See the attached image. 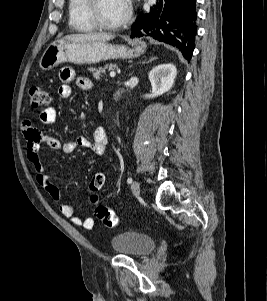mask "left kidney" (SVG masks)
I'll list each match as a JSON object with an SVG mask.
<instances>
[{
  "mask_svg": "<svg viewBox=\"0 0 267 301\" xmlns=\"http://www.w3.org/2000/svg\"><path fill=\"white\" fill-rule=\"evenodd\" d=\"M176 75L177 69L173 64H160L154 67L149 73L152 92L146 95V98H154L168 92L174 84ZM117 94L119 95V92Z\"/></svg>",
  "mask_w": 267,
  "mask_h": 301,
  "instance_id": "obj_1",
  "label": "left kidney"
}]
</instances>
